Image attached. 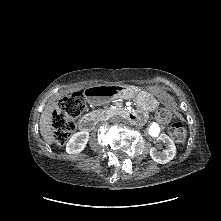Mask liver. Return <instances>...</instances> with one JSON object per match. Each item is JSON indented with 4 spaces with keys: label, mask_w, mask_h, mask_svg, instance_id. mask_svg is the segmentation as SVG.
<instances>
[{
    "label": "liver",
    "mask_w": 221,
    "mask_h": 221,
    "mask_svg": "<svg viewBox=\"0 0 221 221\" xmlns=\"http://www.w3.org/2000/svg\"><path fill=\"white\" fill-rule=\"evenodd\" d=\"M54 109V102L48 104L42 112L39 122L41 136L44 139V141L48 144H52L54 142V133L52 130V113Z\"/></svg>",
    "instance_id": "obj_1"
}]
</instances>
